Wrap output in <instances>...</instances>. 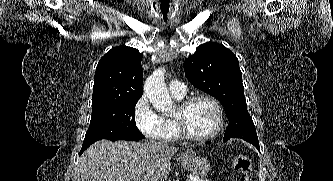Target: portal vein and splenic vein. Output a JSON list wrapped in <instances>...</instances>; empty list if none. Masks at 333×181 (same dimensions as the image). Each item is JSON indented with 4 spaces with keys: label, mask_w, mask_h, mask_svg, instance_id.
<instances>
[{
    "label": "portal vein and splenic vein",
    "mask_w": 333,
    "mask_h": 181,
    "mask_svg": "<svg viewBox=\"0 0 333 181\" xmlns=\"http://www.w3.org/2000/svg\"><path fill=\"white\" fill-rule=\"evenodd\" d=\"M192 181H204L203 179H196V178H192Z\"/></svg>",
    "instance_id": "portal-vein-and-splenic-vein-1"
}]
</instances>
